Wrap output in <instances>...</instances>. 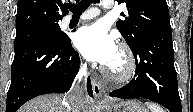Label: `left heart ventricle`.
I'll return each instance as SVG.
<instances>
[{"instance_id":"1","label":"left heart ventricle","mask_w":193,"mask_h":112,"mask_svg":"<svg viewBox=\"0 0 193 112\" xmlns=\"http://www.w3.org/2000/svg\"><path fill=\"white\" fill-rule=\"evenodd\" d=\"M124 66V58L119 50H117L116 55L108 65V67L115 72H119L123 69Z\"/></svg>"}]
</instances>
